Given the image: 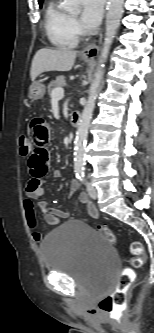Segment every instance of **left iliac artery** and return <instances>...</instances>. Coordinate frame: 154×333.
<instances>
[{
	"label": "left iliac artery",
	"instance_id": "1",
	"mask_svg": "<svg viewBox=\"0 0 154 333\" xmlns=\"http://www.w3.org/2000/svg\"><path fill=\"white\" fill-rule=\"evenodd\" d=\"M76 172V177L81 181L84 182L85 181V170L84 168H76L75 169Z\"/></svg>",
	"mask_w": 154,
	"mask_h": 333
}]
</instances>
